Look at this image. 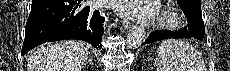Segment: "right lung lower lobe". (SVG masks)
Here are the masks:
<instances>
[{"mask_svg":"<svg viewBox=\"0 0 230 71\" xmlns=\"http://www.w3.org/2000/svg\"><path fill=\"white\" fill-rule=\"evenodd\" d=\"M104 20L99 10L79 0H33L21 55L44 42L64 39L87 41L99 50Z\"/></svg>","mask_w":230,"mask_h":71,"instance_id":"1","label":"right lung lower lobe"}]
</instances>
